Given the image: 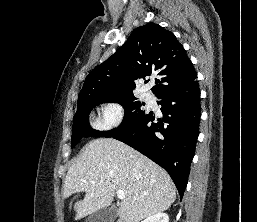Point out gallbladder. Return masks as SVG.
<instances>
[{"label":"gallbladder","mask_w":257,"mask_h":222,"mask_svg":"<svg viewBox=\"0 0 257 222\" xmlns=\"http://www.w3.org/2000/svg\"><path fill=\"white\" fill-rule=\"evenodd\" d=\"M117 217L115 206L102 208L90 215L86 222H114Z\"/></svg>","instance_id":"obj_1"}]
</instances>
